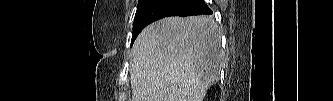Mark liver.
<instances>
[{
    "mask_svg": "<svg viewBox=\"0 0 333 101\" xmlns=\"http://www.w3.org/2000/svg\"><path fill=\"white\" fill-rule=\"evenodd\" d=\"M223 63L221 34L213 18L161 19L134 43L132 101H203Z\"/></svg>",
    "mask_w": 333,
    "mask_h": 101,
    "instance_id": "1",
    "label": "liver"
}]
</instances>
